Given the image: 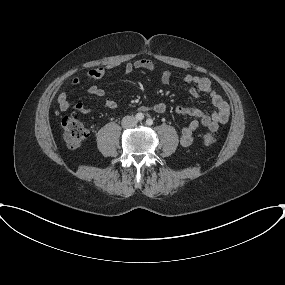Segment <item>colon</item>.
<instances>
[{
  "label": "colon",
  "mask_w": 285,
  "mask_h": 285,
  "mask_svg": "<svg viewBox=\"0 0 285 285\" xmlns=\"http://www.w3.org/2000/svg\"><path fill=\"white\" fill-rule=\"evenodd\" d=\"M61 124L64 142L70 149L80 148L89 137L86 125L75 115L68 114L64 116ZM202 139L205 145H212L216 141L215 135L212 132L205 133Z\"/></svg>",
  "instance_id": "5ec220e1"
}]
</instances>
